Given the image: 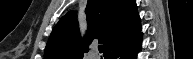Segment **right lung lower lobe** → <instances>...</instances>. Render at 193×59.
Returning <instances> with one entry per match:
<instances>
[{
  "instance_id": "right-lung-lower-lobe-1",
  "label": "right lung lower lobe",
  "mask_w": 193,
  "mask_h": 59,
  "mask_svg": "<svg viewBox=\"0 0 193 59\" xmlns=\"http://www.w3.org/2000/svg\"><path fill=\"white\" fill-rule=\"evenodd\" d=\"M142 33L139 32L137 35L122 43L121 45L114 48L107 55L106 59H135L136 53L140 49Z\"/></svg>"
}]
</instances>
